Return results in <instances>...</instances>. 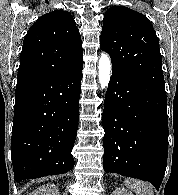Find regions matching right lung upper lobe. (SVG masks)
<instances>
[{"label": "right lung upper lobe", "mask_w": 178, "mask_h": 195, "mask_svg": "<svg viewBox=\"0 0 178 195\" xmlns=\"http://www.w3.org/2000/svg\"><path fill=\"white\" fill-rule=\"evenodd\" d=\"M81 36L70 13L55 10L28 30L20 55L17 82L70 72L83 65Z\"/></svg>", "instance_id": "1"}]
</instances>
